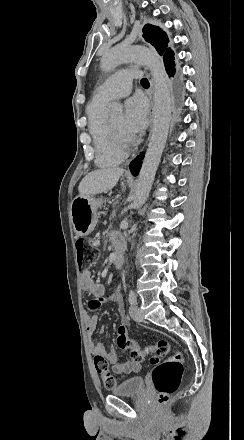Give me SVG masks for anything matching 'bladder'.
<instances>
[{
  "instance_id": "obj_1",
  "label": "bladder",
  "mask_w": 244,
  "mask_h": 440,
  "mask_svg": "<svg viewBox=\"0 0 244 440\" xmlns=\"http://www.w3.org/2000/svg\"><path fill=\"white\" fill-rule=\"evenodd\" d=\"M145 389V380L141 377H130L122 380L116 388L111 389L112 394L137 395Z\"/></svg>"
}]
</instances>
